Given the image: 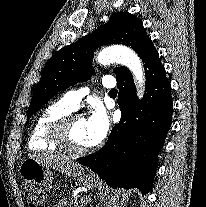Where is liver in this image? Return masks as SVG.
I'll use <instances>...</instances> for the list:
<instances>
[{
	"mask_svg": "<svg viewBox=\"0 0 206 207\" xmlns=\"http://www.w3.org/2000/svg\"><path fill=\"white\" fill-rule=\"evenodd\" d=\"M31 158L68 176L77 177L84 172V169L80 164L70 161L63 156L54 154H37L32 155Z\"/></svg>",
	"mask_w": 206,
	"mask_h": 207,
	"instance_id": "obj_1",
	"label": "liver"
}]
</instances>
